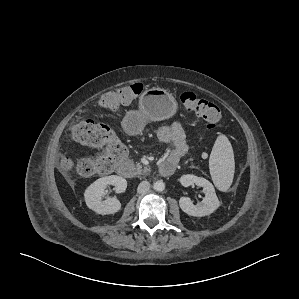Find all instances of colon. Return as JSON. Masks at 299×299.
<instances>
[{"label":"colon","mask_w":299,"mask_h":299,"mask_svg":"<svg viewBox=\"0 0 299 299\" xmlns=\"http://www.w3.org/2000/svg\"><path fill=\"white\" fill-rule=\"evenodd\" d=\"M142 91L143 86L140 83L119 87L100 96L97 106L103 109H117L135 101ZM180 102L185 110L201 117L207 129L212 130L219 125L222 115L216 104L190 91L180 95ZM71 135L80 144L100 148L102 151L94 157L76 161L64 158L61 167L66 171L75 170L82 176L106 175L126 157L125 146L106 124L90 119H78L71 127Z\"/></svg>","instance_id":"obj_1"}]
</instances>
